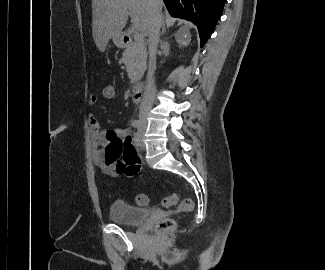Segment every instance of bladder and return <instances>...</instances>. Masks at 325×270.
Masks as SVG:
<instances>
[{
	"label": "bladder",
	"instance_id": "31cf9c89",
	"mask_svg": "<svg viewBox=\"0 0 325 270\" xmlns=\"http://www.w3.org/2000/svg\"><path fill=\"white\" fill-rule=\"evenodd\" d=\"M149 209L134 206L124 200L117 199L109 208V219L121 225L138 227L150 216Z\"/></svg>",
	"mask_w": 325,
	"mask_h": 270
}]
</instances>
